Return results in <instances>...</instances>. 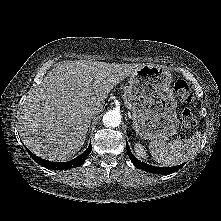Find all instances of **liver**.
<instances>
[{
    "mask_svg": "<svg viewBox=\"0 0 221 221\" xmlns=\"http://www.w3.org/2000/svg\"><path fill=\"white\" fill-rule=\"evenodd\" d=\"M143 65L82 60L58 64L23 105V143L41 158L70 160L85 142L89 110L101 111L113 87Z\"/></svg>",
    "mask_w": 221,
    "mask_h": 221,
    "instance_id": "6515ba94",
    "label": "liver"
}]
</instances>
